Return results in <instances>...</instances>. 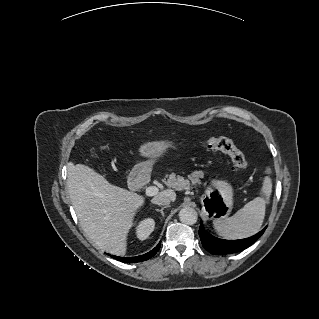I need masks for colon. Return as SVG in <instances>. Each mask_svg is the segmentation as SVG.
Returning a JSON list of instances; mask_svg holds the SVG:
<instances>
[{
  "label": "colon",
  "mask_w": 319,
  "mask_h": 319,
  "mask_svg": "<svg viewBox=\"0 0 319 319\" xmlns=\"http://www.w3.org/2000/svg\"><path fill=\"white\" fill-rule=\"evenodd\" d=\"M201 146L205 149L220 151L222 153L227 154L236 169L238 170H245L248 166V162L244 158L243 154L237 150V148L228 140L220 139V138H209L204 140L201 143ZM107 148H103L101 152H108Z\"/></svg>",
  "instance_id": "obj_1"
}]
</instances>
